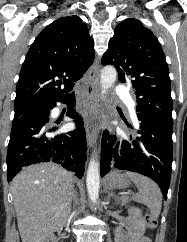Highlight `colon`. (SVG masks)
Returning <instances> with one entry per match:
<instances>
[{
  "label": "colon",
  "mask_w": 187,
  "mask_h": 242,
  "mask_svg": "<svg viewBox=\"0 0 187 242\" xmlns=\"http://www.w3.org/2000/svg\"><path fill=\"white\" fill-rule=\"evenodd\" d=\"M145 221L150 228H154L157 225L156 218L151 214L145 215ZM141 242H150V240L148 238H144L141 240Z\"/></svg>",
  "instance_id": "obj_1"
}]
</instances>
